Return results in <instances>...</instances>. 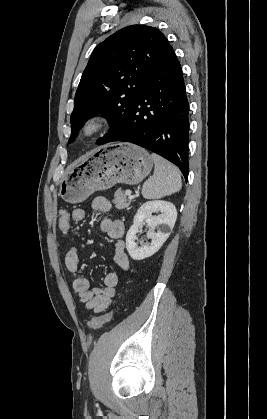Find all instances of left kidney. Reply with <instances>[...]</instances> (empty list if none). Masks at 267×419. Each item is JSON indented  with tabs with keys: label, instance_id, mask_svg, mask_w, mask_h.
I'll use <instances>...</instances> for the list:
<instances>
[{
	"label": "left kidney",
	"instance_id": "obj_1",
	"mask_svg": "<svg viewBox=\"0 0 267 419\" xmlns=\"http://www.w3.org/2000/svg\"><path fill=\"white\" fill-rule=\"evenodd\" d=\"M155 211L160 212V214L152 216V213ZM176 218L177 210L171 202L154 200L142 204L134 216L133 225L126 235V248L131 258L142 260L155 254L169 237ZM144 221L149 228L147 237L151 239V242L138 247L135 242L136 234ZM159 225H161V228L155 232L154 229Z\"/></svg>",
	"mask_w": 267,
	"mask_h": 419
}]
</instances>
